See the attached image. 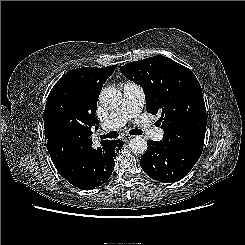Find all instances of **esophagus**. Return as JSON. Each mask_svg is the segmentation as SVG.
Wrapping results in <instances>:
<instances>
[{"label": "esophagus", "instance_id": "obj_1", "mask_svg": "<svg viewBox=\"0 0 245 245\" xmlns=\"http://www.w3.org/2000/svg\"><path fill=\"white\" fill-rule=\"evenodd\" d=\"M133 136L129 134H122L121 138L126 142L130 140Z\"/></svg>", "mask_w": 245, "mask_h": 245}]
</instances>
